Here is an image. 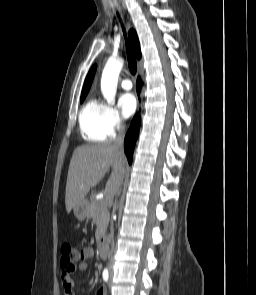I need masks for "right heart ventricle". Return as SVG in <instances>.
Returning <instances> with one entry per match:
<instances>
[{"label":"right heart ventricle","mask_w":256,"mask_h":295,"mask_svg":"<svg viewBox=\"0 0 256 295\" xmlns=\"http://www.w3.org/2000/svg\"><path fill=\"white\" fill-rule=\"evenodd\" d=\"M106 106L94 98L83 105L79 115V125L83 138L90 142H102L109 138L105 122Z\"/></svg>","instance_id":"right-heart-ventricle-1"}]
</instances>
